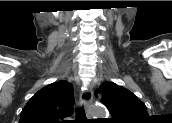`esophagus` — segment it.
<instances>
[{"mask_svg": "<svg viewBox=\"0 0 172 123\" xmlns=\"http://www.w3.org/2000/svg\"><path fill=\"white\" fill-rule=\"evenodd\" d=\"M79 102L81 105L84 106L86 110V118L92 119L90 113H89V107L91 106L93 102V90L91 86H87L81 93Z\"/></svg>", "mask_w": 172, "mask_h": 123, "instance_id": "34e87169", "label": "esophagus"}]
</instances>
